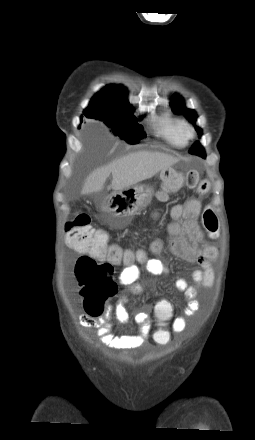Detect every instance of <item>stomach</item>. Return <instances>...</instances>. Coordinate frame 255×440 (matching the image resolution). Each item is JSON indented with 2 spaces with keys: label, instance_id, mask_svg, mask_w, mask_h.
Returning <instances> with one entry per match:
<instances>
[{
  "label": "stomach",
  "instance_id": "0dacf381",
  "mask_svg": "<svg viewBox=\"0 0 255 440\" xmlns=\"http://www.w3.org/2000/svg\"><path fill=\"white\" fill-rule=\"evenodd\" d=\"M171 168H164L162 175ZM153 189L136 185L121 191H114L100 203L101 210L122 225L128 224L134 215L145 209L151 202Z\"/></svg>",
  "mask_w": 255,
  "mask_h": 440
}]
</instances>
